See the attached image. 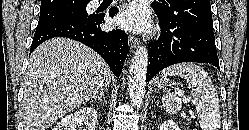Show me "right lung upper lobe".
<instances>
[{"mask_svg":"<svg viewBox=\"0 0 249 130\" xmlns=\"http://www.w3.org/2000/svg\"><path fill=\"white\" fill-rule=\"evenodd\" d=\"M82 2L89 0H42L41 10L65 9L77 6Z\"/></svg>","mask_w":249,"mask_h":130,"instance_id":"cb5924a9","label":"right lung upper lobe"}]
</instances>
